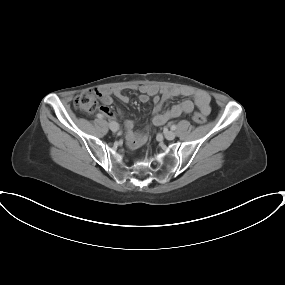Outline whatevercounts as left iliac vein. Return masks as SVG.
I'll list each match as a JSON object with an SVG mask.
<instances>
[{"mask_svg": "<svg viewBox=\"0 0 285 285\" xmlns=\"http://www.w3.org/2000/svg\"><path fill=\"white\" fill-rule=\"evenodd\" d=\"M164 136L167 140H173L176 137V134L173 131H165Z\"/></svg>", "mask_w": 285, "mask_h": 285, "instance_id": "4c4485c4", "label": "left iliac vein"}]
</instances>
